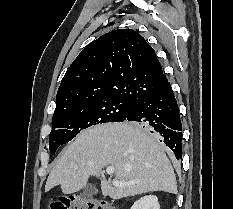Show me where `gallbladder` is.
<instances>
[{
  "instance_id": "obj_1",
  "label": "gallbladder",
  "mask_w": 233,
  "mask_h": 209,
  "mask_svg": "<svg viewBox=\"0 0 233 209\" xmlns=\"http://www.w3.org/2000/svg\"><path fill=\"white\" fill-rule=\"evenodd\" d=\"M96 193V189L93 186L86 187L83 191V195L91 196Z\"/></svg>"
}]
</instances>
